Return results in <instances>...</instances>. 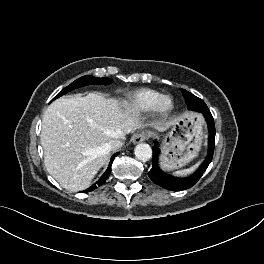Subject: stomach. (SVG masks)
Wrapping results in <instances>:
<instances>
[{"label":"stomach","mask_w":264,"mask_h":264,"mask_svg":"<svg viewBox=\"0 0 264 264\" xmlns=\"http://www.w3.org/2000/svg\"><path fill=\"white\" fill-rule=\"evenodd\" d=\"M202 138V117L192 113L182 114L163 137L161 166L169 170L185 166L197 157Z\"/></svg>","instance_id":"1"}]
</instances>
